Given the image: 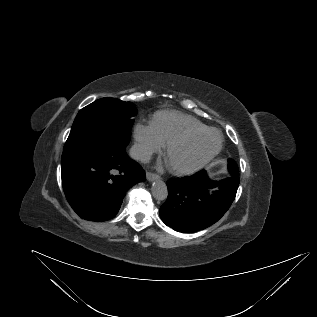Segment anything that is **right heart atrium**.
Instances as JSON below:
<instances>
[{"mask_svg":"<svg viewBox=\"0 0 317 317\" xmlns=\"http://www.w3.org/2000/svg\"><path fill=\"white\" fill-rule=\"evenodd\" d=\"M133 137L134 155L140 160H147L162 149V145L148 124L137 123L133 130Z\"/></svg>","mask_w":317,"mask_h":317,"instance_id":"right-heart-atrium-1","label":"right heart atrium"}]
</instances>
